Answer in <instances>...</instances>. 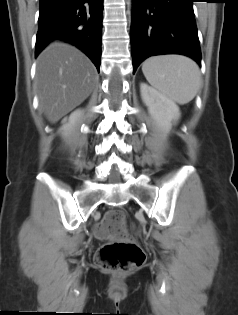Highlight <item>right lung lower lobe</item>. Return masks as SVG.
<instances>
[{"label":"right lung lower lobe","mask_w":238,"mask_h":315,"mask_svg":"<svg viewBox=\"0 0 238 315\" xmlns=\"http://www.w3.org/2000/svg\"><path fill=\"white\" fill-rule=\"evenodd\" d=\"M103 0H40L35 56L54 39L81 49L99 71Z\"/></svg>","instance_id":"right-lung-lower-lobe-1"}]
</instances>
